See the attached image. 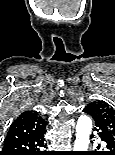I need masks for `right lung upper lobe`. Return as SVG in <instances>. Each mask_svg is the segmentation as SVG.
<instances>
[{"instance_id": "cb5924a9", "label": "right lung upper lobe", "mask_w": 115, "mask_h": 155, "mask_svg": "<svg viewBox=\"0 0 115 155\" xmlns=\"http://www.w3.org/2000/svg\"><path fill=\"white\" fill-rule=\"evenodd\" d=\"M47 122L37 111H25L11 124L4 144L20 141L46 131Z\"/></svg>"}]
</instances>
